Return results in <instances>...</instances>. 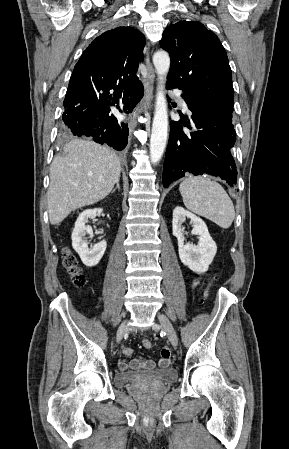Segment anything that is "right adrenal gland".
Wrapping results in <instances>:
<instances>
[{"label":"right adrenal gland","mask_w":289,"mask_h":449,"mask_svg":"<svg viewBox=\"0 0 289 449\" xmlns=\"http://www.w3.org/2000/svg\"><path fill=\"white\" fill-rule=\"evenodd\" d=\"M116 189L120 190V184L119 181L116 182V187L112 190V193L115 192Z\"/></svg>","instance_id":"1"}]
</instances>
